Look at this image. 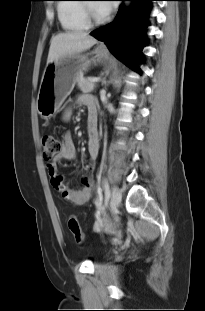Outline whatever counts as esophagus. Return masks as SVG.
Wrapping results in <instances>:
<instances>
[{"label": "esophagus", "instance_id": "34e87169", "mask_svg": "<svg viewBox=\"0 0 205 311\" xmlns=\"http://www.w3.org/2000/svg\"><path fill=\"white\" fill-rule=\"evenodd\" d=\"M100 47L103 48V47H104V44H101Z\"/></svg>", "mask_w": 205, "mask_h": 311}]
</instances>
